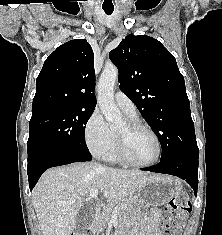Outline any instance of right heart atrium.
Returning <instances> with one entry per match:
<instances>
[{"label":"right heart atrium","mask_w":222,"mask_h":235,"mask_svg":"<svg viewBox=\"0 0 222 235\" xmlns=\"http://www.w3.org/2000/svg\"><path fill=\"white\" fill-rule=\"evenodd\" d=\"M87 147L95 156H104L115 142L114 132L111 130L102 113L94 110L84 129Z\"/></svg>","instance_id":"right-heart-atrium-1"}]
</instances>
